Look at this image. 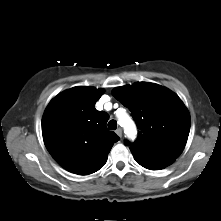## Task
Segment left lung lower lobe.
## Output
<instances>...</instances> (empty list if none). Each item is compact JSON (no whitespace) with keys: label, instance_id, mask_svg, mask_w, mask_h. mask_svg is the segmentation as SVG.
Returning <instances> with one entry per match:
<instances>
[{"label":"left lung lower lobe","instance_id":"obj_1","mask_svg":"<svg viewBox=\"0 0 221 221\" xmlns=\"http://www.w3.org/2000/svg\"><path fill=\"white\" fill-rule=\"evenodd\" d=\"M135 160L141 166L150 170H160L174 162V161H148V160H143V159H138V158H135Z\"/></svg>","mask_w":221,"mask_h":221}]
</instances>
